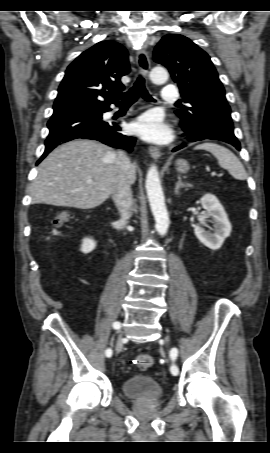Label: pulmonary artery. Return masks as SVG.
<instances>
[{
    "instance_id": "1",
    "label": "pulmonary artery",
    "mask_w": 270,
    "mask_h": 453,
    "mask_svg": "<svg viewBox=\"0 0 270 453\" xmlns=\"http://www.w3.org/2000/svg\"><path fill=\"white\" fill-rule=\"evenodd\" d=\"M179 98V92L174 85H167L163 88L162 99L164 101L172 102Z\"/></svg>"
}]
</instances>
